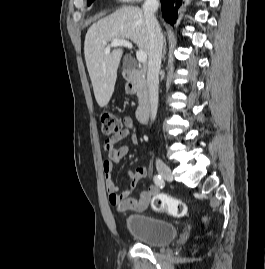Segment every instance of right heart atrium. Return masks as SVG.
Returning <instances> with one entry per match:
<instances>
[{
  "label": "right heart atrium",
  "mask_w": 265,
  "mask_h": 269,
  "mask_svg": "<svg viewBox=\"0 0 265 269\" xmlns=\"http://www.w3.org/2000/svg\"><path fill=\"white\" fill-rule=\"evenodd\" d=\"M119 2L122 3H131V2H136V1H140V0H118Z\"/></svg>",
  "instance_id": "1"
}]
</instances>
